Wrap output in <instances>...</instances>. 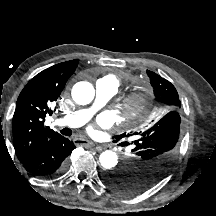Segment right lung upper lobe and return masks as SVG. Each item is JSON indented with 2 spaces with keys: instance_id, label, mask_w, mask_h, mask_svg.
I'll return each instance as SVG.
<instances>
[{
  "instance_id": "cb5924a9",
  "label": "right lung upper lobe",
  "mask_w": 216,
  "mask_h": 216,
  "mask_svg": "<svg viewBox=\"0 0 216 216\" xmlns=\"http://www.w3.org/2000/svg\"><path fill=\"white\" fill-rule=\"evenodd\" d=\"M78 61L62 62L43 70L20 93L13 116V140L21 163L59 135L44 125V119L52 114L50 106L60 96Z\"/></svg>"
}]
</instances>
